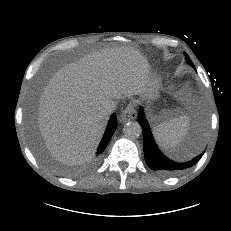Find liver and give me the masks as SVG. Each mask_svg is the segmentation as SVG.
<instances>
[{"label": "liver", "mask_w": 231, "mask_h": 231, "mask_svg": "<svg viewBox=\"0 0 231 231\" xmlns=\"http://www.w3.org/2000/svg\"><path fill=\"white\" fill-rule=\"evenodd\" d=\"M149 82L147 58L131 47L101 49L60 69L38 107L39 131L51 155L68 165L89 161L109 119L106 105L141 95Z\"/></svg>", "instance_id": "1"}]
</instances>
